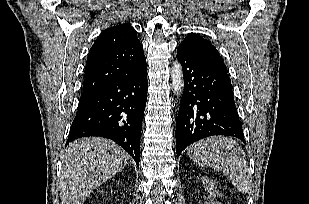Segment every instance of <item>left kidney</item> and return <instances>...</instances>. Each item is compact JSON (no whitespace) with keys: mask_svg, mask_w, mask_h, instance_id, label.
<instances>
[{"mask_svg":"<svg viewBox=\"0 0 309 204\" xmlns=\"http://www.w3.org/2000/svg\"><path fill=\"white\" fill-rule=\"evenodd\" d=\"M202 181H203V185L205 186L207 191L210 193V197H212V199H210V203L217 204L214 199L216 197H219L220 195H219V191L217 190V187L215 186L214 181L205 176L202 177Z\"/></svg>","mask_w":309,"mask_h":204,"instance_id":"obj_1","label":"left kidney"}]
</instances>
